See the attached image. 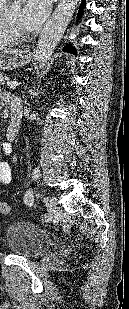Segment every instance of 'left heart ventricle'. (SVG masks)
<instances>
[{
  "instance_id": "left-heart-ventricle-1",
  "label": "left heart ventricle",
  "mask_w": 129,
  "mask_h": 309,
  "mask_svg": "<svg viewBox=\"0 0 129 309\" xmlns=\"http://www.w3.org/2000/svg\"><path fill=\"white\" fill-rule=\"evenodd\" d=\"M8 18L12 21L14 27L18 30H25V26L22 21V16L18 11H11L7 13Z\"/></svg>"
}]
</instances>
